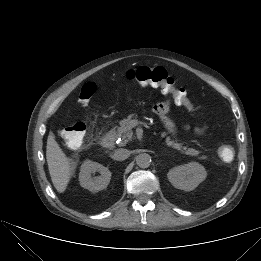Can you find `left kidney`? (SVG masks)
Wrapping results in <instances>:
<instances>
[{"mask_svg": "<svg viewBox=\"0 0 261 261\" xmlns=\"http://www.w3.org/2000/svg\"><path fill=\"white\" fill-rule=\"evenodd\" d=\"M206 176L207 172L205 168L197 162L176 166L167 174L171 184L175 188L184 191L194 190L203 180H205Z\"/></svg>", "mask_w": 261, "mask_h": 261, "instance_id": "5707ae66", "label": "left kidney"}]
</instances>
